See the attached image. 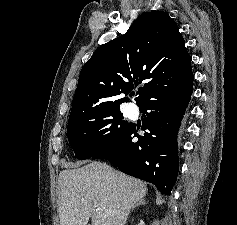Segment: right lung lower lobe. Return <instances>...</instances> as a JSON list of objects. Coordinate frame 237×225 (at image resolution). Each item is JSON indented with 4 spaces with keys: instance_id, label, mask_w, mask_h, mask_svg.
Wrapping results in <instances>:
<instances>
[{
    "instance_id": "right-lung-lower-lobe-1",
    "label": "right lung lower lobe",
    "mask_w": 237,
    "mask_h": 225,
    "mask_svg": "<svg viewBox=\"0 0 237 225\" xmlns=\"http://www.w3.org/2000/svg\"><path fill=\"white\" fill-rule=\"evenodd\" d=\"M192 83H166L156 89L139 105L146 113L141 129L148 132L139 136L136 125L130 123L112 146L91 158L107 159L120 171L153 183L170 195L179 170L177 135L191 99ZM133 137L138 141L133 142Z\"/></svg>"
}]
</instances>
